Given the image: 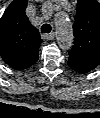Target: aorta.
<instances>
[{
    "label": "aorta",
    "mask_w": 100,
    "mask_h": 118,
    "mask_svg": "<svg viewBox=\"0 0 100 118\" xmlns=\"http://www.w3.org/2000/svg\"><path fill=\"white\" fill-rule=\"evenodd\" d=\"M56 31H57V44L62 50H69L74 41L73 29L70 20L63 12H58L54 17Z\"/></svg>",
    "instance_id": "aorta-1"
}]
</instances>
